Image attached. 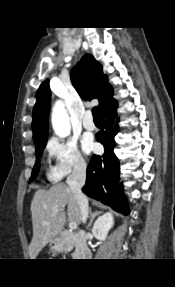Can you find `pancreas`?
Here are the masks:
<instances>
[{"label": "pancreas", "mask_w": 175, "mask_h": 287, "mask_svg": "<svg viewBox=\"0 0 175 287\" xmlns=\"http://www.w3.org/2000/svg\"><path fill=\"white\" fill-rule=\"evenodd\" d=\"M76 249H77V245H76ZM73 256H78V250H76V252L73 254Z\"/></svg>", "instance_id": "pancreas-1"}]
</instances>
